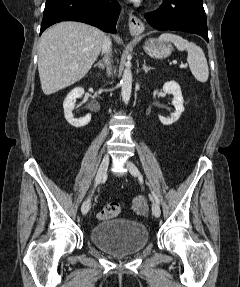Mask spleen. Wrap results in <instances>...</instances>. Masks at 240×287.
Wrapping results in <instances>:
<instances>
[{
    "instance_id": "obj_1",
    "label": "spleen",
    "mask_w": 240,
    "mask_h": 287,
    "mask_svg": "<svg viewBox=\"0 0 240 287\" xmlns=\"http://www.w3.org/2000/svg\"><path fill=\"white\" fill-rule=\"evenodd\" d=\"M159 40L170 41L179 51H187V62L193 76L202 83L208 80L209 70L207 59L199 46L173 33H163L160 35Z\"/></svg>"
}]
</instances>
